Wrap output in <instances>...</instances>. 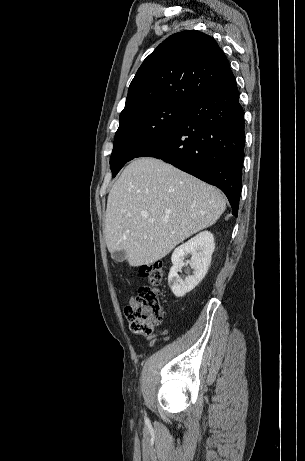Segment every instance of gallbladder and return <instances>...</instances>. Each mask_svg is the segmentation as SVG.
I'll return each instance as SVG.
<instances>
[{
	"mask_svg": "<svg viewBox=\"0 0 305 461\" xmlns=\"http://www.w3.org/2000/svg\"><path fill=\"white\" fill-rule=\"evenodd\" d=\"M125 258L126 253L124 251H116L113 253V259H115L118 262L125 260Z\"/></svg>",
	"mask_w": 305,
	"mask_h": 461,
	"instance_id": "1",
	"label": "gallbladder"
}]
</instances>
